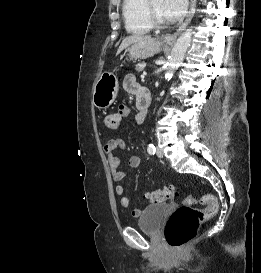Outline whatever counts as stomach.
Segmentation results:
<instances>
[{
	"instance_id": "obj_1",
	"label": "stomach",
	"mask_w": 261,
	"mask_h": 273,
	"mask_svg": "<svg viewBox=\"0 0 261 273\" xmlns=\"http://www.w3.org/2000/svg\"><path fill=\"white\" fill-rule=\"evenodd\" d=\"M164 43L157 39L137 41L131 44L125 52L131 59H145L159 53ZM119 90L118 79L113 72H104L93 86L92 102L98 109H107L116 99Z\"/></svg>"
}]
</instances>
